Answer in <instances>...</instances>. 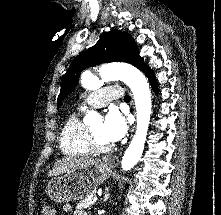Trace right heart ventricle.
Wrapping results in <instances>:
<instances>
[{
    "label": "right heart ventricle",
    "mask_w": 221,
    "mask_h": 215,
    "mask_svg": "<svg viewBox=\"0 0 221 215\" xmlns=\"http://www.w3.org/2000/svg\"><path fill=\"white\" fill-rule=\"evenodd\" d=\"M60 147L68 155L82 156L90 152L88 126L78 114H71L64 122L60 132Z\"/></svg>",
    "instance_id": "obj_1"
}]
</instances>
